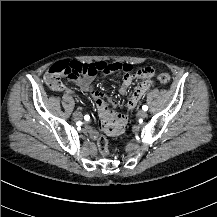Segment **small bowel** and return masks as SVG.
<instances>
[{"mask_svg":"<svg viewBox=\"0 0 217 217\" xmlns=\"http://www.w3.org/2000/svg\"><path fill=\"white\" fill-rule=\"evenodd\" d=\"M144 69V68H143ZM143 69L142 71V76L140 78H145L148 76H145L143 74ZM125 74L122 77L121 84L119 87V94L120 95H125L128 92L129 87L133 83L135 77L131 73V71H124ZM73 83L79 87V89L85 93H87L94 104L96 105L98 111H100V129L103 133L108 134V135H115L118 134L122 131L123 129V122H124V127L126 124V116H120L116 109L112 106H107V102H111L113 105H115V102L107 97L104 93L99 91L94 84L95 81V75H85L83 77H75L72 79ZM63 90L64 92L68 94H72L73 91L72 89L61 85L59 88ZM148 89V84L147 83H142L138 87H136L131 95L129 96L127 102H126V109L128 111L133 110L145 92ZM123 120V122H122ZM88 134L92 138H97V131L94 130L93 128H87Z\"/></svg>","mask_w":217,"mask_h":217,"instance_id":"obj_1","label":"small bowel"}]
</instances>
